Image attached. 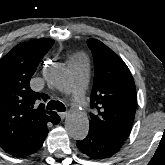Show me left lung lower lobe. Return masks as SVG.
Wrapping results in <instances>:
<instances>
[{
    "instance_id": "0a47b994",
    "label": "left lung lower lobe",
    "mask_w": 165,
    "mask_h": 165,
    "mask_svg": "<svg viewBox=\"0 0 165 165\" xmlns=\"http://www.w3.org/2000/svg\"><path fill=\"white\" fill-rule=\"evenodd\" d=\"M122 140L113 138L93 127L85 139L77 141L79 150L92 159H104L111 157L119 151L123 145Z\"/></svg>"
}]
</instances>
